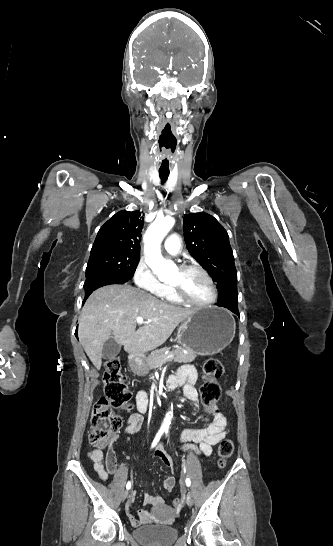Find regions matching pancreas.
I'll list each match as a JSON object with an SVG mask.
<instances>
[{"label": "pancreas", "mask_w": 333, "mask_h": 546, "mask_svg": "<svg viewBox=\"0 0 333 546\" xmlns=\"http://www.w3.org/2000/svg\"><path fill=\"white\" fill-rule=\"evenodd\" d=\"M168 350V347H163L161 349L152 351L146 358V368L148 370H152L162 366V364L166 362H171L172 360L178 363H188L192 362L196 357V354L193 352L184 353V351L181 349H174L169 353L174 354V357L165 359L169 355L166 354Z\"/></svg>", "instance_id": "pancreas-1"}]
</instances>
